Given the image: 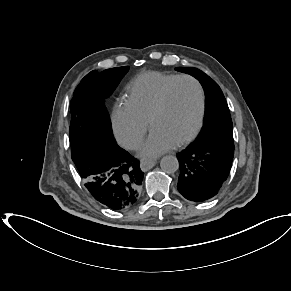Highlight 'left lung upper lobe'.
I'll return each instance as SVG.
<instances>
[{"mask_svg": "<svg viewBox=\"0 0 291 291\" xmlns=\"http://www.w3.org/2000/svg\"><path fill=\"white\" fill-rule=\"evenodd\" d=\"M176 70L198 79L206 93L204 125L191 144H213L234 149L232 120L227 102L218 84L197 68L177 67Z\"/></svg>", "mask_w": 291, "mask_h": 291, "instance_id": "obj_1", "label": "left lung upper lobe"}]
</instances>
